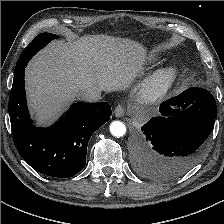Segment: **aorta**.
<instances>
[{
	"label": "aorta",
	"instance_id": "1",
	"mask_svg": "<svg viewBox=\"0 0 224 224\" xmlns=\"http://www.w3.org/2000/svg\"><path fill=\"white\" fill-rule=\"evenodd\" d=\"M110 132L115 137H122L126 133V126L120 121H113L110 124Z\"/></svg>",
	"mask_w": 224,
	"mask_h": 224
}]
</instances>
